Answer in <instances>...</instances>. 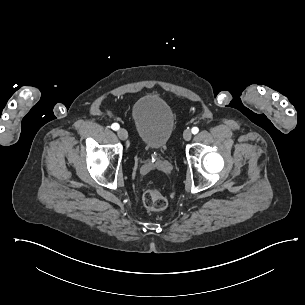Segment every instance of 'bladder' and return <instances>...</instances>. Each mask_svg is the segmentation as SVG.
I'll list each match as a JSON object with an SVG mask.
<instances>
[{
	"instance_id": "obj_1",
	"label": "bladder",
	"mask_w": 305,
	"mask_h": 305,
	"mask_svg": "<svg viewBox=\"0 0 305 305\" xmlns=\"http://www.w3.org/2000/svg\"><path fill=\"white\" fill-rule=\"evenodd\" d=\"M131 119L144 145L166 148L175 128L174 108L169 101L155 93L143 94L131 107Z\"/></svg>"
}]
</instances>
